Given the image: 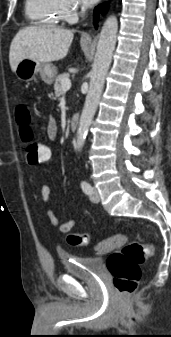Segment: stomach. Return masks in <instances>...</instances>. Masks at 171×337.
<instances>
[{
    "label": "stomach",
    "instance_id": "stomach-1",
    "mask_svg": "<svg viewBox=\"0 0 171 337\" xmlns=\"http://www.w3.org/2000/svg\"><path fill=\"white\" fill-rule=\"evenodd\" d=\"M38 73L45 83L51 84L56 77L57 69L50 63L25 58L18 63L15 70L16 77L21 81H30Z\"/></svg>",
    "mask_w": 171,
    "mask_h": 337
}]
</instances>
